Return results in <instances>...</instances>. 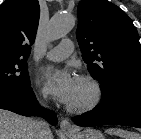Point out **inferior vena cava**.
<instances>
[{"instance_id": "602c4592", "label": "inferior vena cava", "mask_w": 141, "mask_h": 139, "mask_svg": "<svg viewBox=\"0 0 141 139\" xmlns=\"http://www.w3.org/2000/svg\"><path fill=\"white\" fill-rule=\"evenodd\" d=\"M51 130L45 120H39L36 123V130L33 139H50Z\"/></svg>"}]
</instances>
